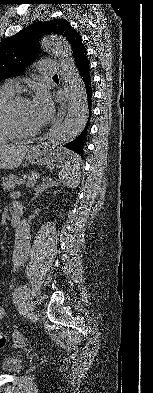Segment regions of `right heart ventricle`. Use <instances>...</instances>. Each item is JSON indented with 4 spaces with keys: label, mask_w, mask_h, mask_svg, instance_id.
Masks as SVG:
<instances>
[{
    "label": "right heart ventricle",
    "mask_w": 153,
    "mask_h": 393,
    "mask_svg": "<svg viewBox=\"0 0 153 393\" xmlns=\"http://www.w3.org/2000/svg\"><path fill=\"white\" fill-rule=\"evenodd\" d=\"M14 93L5 87L0 89V143L7 141L11 135L6 123V111L14 98Z\"/></svg>",
    "instance_id": "obj_1"
}]
</instances>
